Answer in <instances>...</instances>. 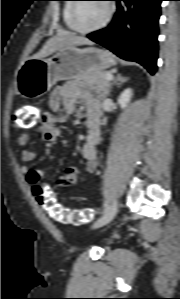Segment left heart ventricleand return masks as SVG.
<instances>
[{
  "label": "left heart ventricle",
  "instance_id": "obj_1",
  "mask_svg": "<svg viewBox=\"0 0 180 299\" xmlns=\"http://www.w3.org/2000/svg\"><path fill=\"white\" fill-rule=\"evenodd\" d=\"M105 2L80 3L76 12V23L81 28H91L100 24L106 16Z\"/></svg>",
  "mask_w": 180,
  "mask_h": 299
}]
</instances>
